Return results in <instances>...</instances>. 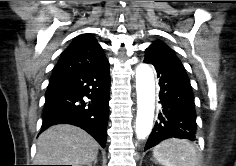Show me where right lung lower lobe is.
Here are the masks:
<instances>
[{
    "label": "right lung lower lobe",
    "instance_id": "obj_1",
    "mask_svg": "<svg viewBox=\"0 0 236 166\" xmlns=\"http://www.w3.org/2000/svg\"><path fill=\"white\" fill-rule=\"evenodd\" d=\"M109 96L108 62L92 70L53 73L46 91L40 133L55 124H72L87 131L104 148ZM84 97L90 101H84Z\"/></svg>",
    "mask_w": 236,
    "mask_h": 166
}]
</instances>
